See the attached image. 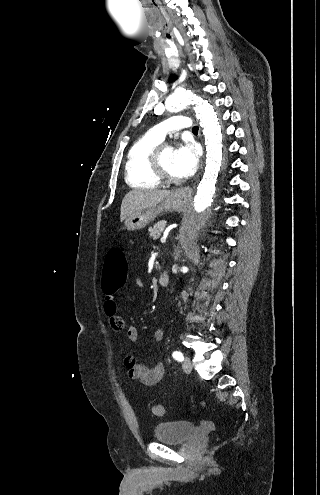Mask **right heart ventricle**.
<instances>
[{
    "label": "right heart ventricle",
    "mask_w": 320,
    "mask_h": 495,
    "mask_svg": "<svg viewBox=\"0 0 320 495\" xmlns=\"http://www.w3.org/2000/svg\"><path fill=\"white\" fill-rule=\"evenodd\" d=\"M160 143V140L146 133L131 145L125 160V180L128 185L141 189L159 186L160 180L151 170L149 156Z\"/></svg>",
    "instance_id": "right-heart-ventricle-1"
}]
</instances>
